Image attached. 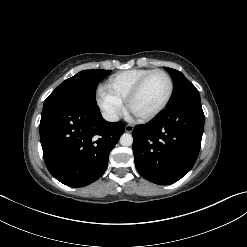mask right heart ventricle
Wrapping results in <instances>:
<instances>
[{
  "instance_id": "e07e8e85",
  "label": "right heart ventricle",
  "mask_w": 247,
  "mask_h": 247,
  "mask_svg": "<svg viewBox=\"0 0 247 247\" xmlns=\"http://www.w3.org/2000/svg\"><path fill=\"white\" fill-rule=\"evenodd\" d=\"M150 71V69H131L116 73L107 80L105 88L124 102L137 82Z\"/></svg>"
}]
</instances>
